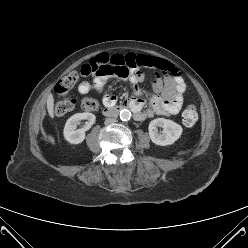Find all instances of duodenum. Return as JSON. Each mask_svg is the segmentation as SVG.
Wrapping results in <instances>:
<instances>
[{
    "mask_svg": "<svg viewBox=\"0 0 248 248\" xmlns=\"http://www.w3.org/2000/svg\"><path fill=\"white\" fill-rule=\"evenodd\" d=\"M124 109H129L134 114H137L136 104L132 100H129V99L128 100H125L120 106H117V107H106L102 111V114L104 116L114 117V116H117Z\"/></svg>",
    "mask_w": 248,
    "mask_h": 248,
    "instance_id": "duodenum-1",
    "label": "duodenum"
}]
</instances>
